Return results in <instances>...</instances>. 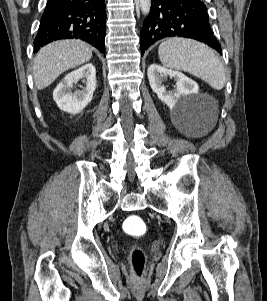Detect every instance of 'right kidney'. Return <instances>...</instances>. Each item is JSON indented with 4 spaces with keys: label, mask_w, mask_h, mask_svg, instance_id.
Masks as SVG:
<instances>
[{
    "label": "right kidney",
    "mask_w": 267,
    "mask_h": 301,
    "mask_svg": "<svg viewBox=\"0 0 267 301\" xmlns=\"http://www.w3.org/2000/svg\"><path fill=\"white\" fill-rule=\"evenodd\" d=\"M79 80L86 86L82 90L72 92L73 86ZM95 89L96 69L91 63H88L66 75L55 88L53 99L62 111L78 114L92 101Z\"/></svg>",
    "instance_id": "ca27d5eb"
}]
</instances>
